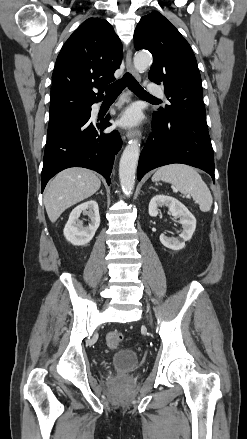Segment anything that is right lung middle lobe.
I'll return each instance as SVG.
<instances>
[{
    "mask_svg": "<svg viewBox=\"0 0 247 439\" xmlns=\"http://www.w3.org/2000/svg\"><path fill=\"white\" fill-rule=\"evenodd\" d=\"M89 104L73 106L67 109L50 112L49 125L55 124L61 120L71 117L75 112L84 110Z\"/></svg>",
    "mask_w": 247,
    "mask_h": 439,
    "instance_id": "obj_1",
    "label": "right lung middle lobe"
}]
</instances>
